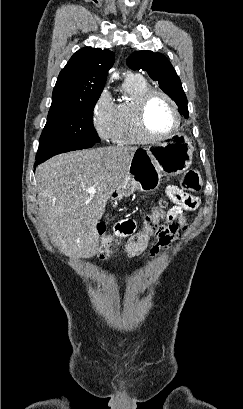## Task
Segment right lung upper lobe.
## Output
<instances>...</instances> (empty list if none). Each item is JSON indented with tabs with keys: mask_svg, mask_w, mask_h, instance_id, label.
Masks as SVG:
<instances>
[{
	"mask_svg": "<svg viewBox=\"0 0 243 409\" xmlns=\"http://www.w3.org/2000/svg\"><path fill=\"white\" fill-rule=\"evenodd\" d=\"M114 58L110 50L92 47L78 50L58 76L52 103L98 100Z\"/></svg>",
	"mask_w": 243,
	"mask_h": 409,
	"instance_id": "right-lung-upper-lobe-1",
	"label": "right lung upper lobe"
}]
</instances>
